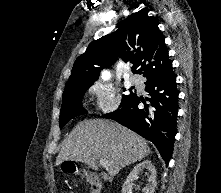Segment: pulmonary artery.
I'll return each instance as SVG.
<instances>
[{
	"instance_id": "pulmonary-artery-1",
	"label": "pulmonary artery",
	"mask_w": 221,
	"mask_h": 193,
	"mask_svg": "<svg viewBox=\"0 0 221 193\" xmlns=\"http://www.w3.org/2000/svg\"><path fill=\"white\" fill-rule=\"evenodd\" d=\"M131 83L134 84V85H136V86H140V85H141V79H140V77L137 76V75H133V76L131 77Z\"/></svg>"
}]
</instances>
